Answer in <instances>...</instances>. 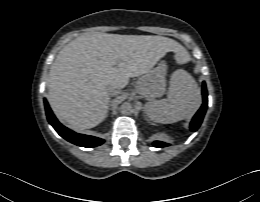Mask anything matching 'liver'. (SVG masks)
<instances>
[{
	"instance_id": "6515ba94",
	"label": "liver",
	"mask_w": 260,
	"mask_h": 202,
	"mask_svg": "<svg viewBox=\"0 0 260 202\" xmlns=\"http://www.w3.org/2000/svg\"><path fill=\"white\" fill-rule=\"evenodd\" d=\"M167 52L176 53L178 63L188 58L184 47L167 37L82 34L51 65L49 104L71 128L95 127L107 115L109 89L124 88L130 77L147 73Z\"/></svg>"
}]
</instances>
